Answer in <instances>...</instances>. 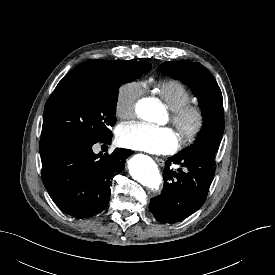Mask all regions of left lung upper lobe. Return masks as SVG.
<instances>
[{
    "label": "left lung upper lobe",
    "mask_w": 275,
    "mask_h": 275,
    "mask_svg": "<svg viewBox=\"0 0 275 275\" xmlns=\"http://www.w3.org/2000/svg\"><path fill=\"white\" fill-rule=\"evenodd\" d=\"M159 70L189 86L198 98L204 123L194 144L178 154L218 151L224 132V109L221 90L210 72L200 63L190 61H168Z\"/></svg>",
    "instance_id": "obj_1"
}]
</instances>
